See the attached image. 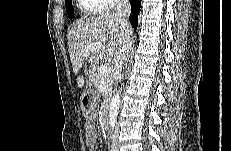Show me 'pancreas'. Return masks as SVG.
<instances>
[{"label": "pancreas", "instance_id": "obj_1", "mask_svg": "<svg viewBox=\"0 0 231 151\" xmlns=\"http://www.w3.org/2000/svg\"><path fill=\"white\" fill-rule=\"evenodd\" d=\"M100 67L96 68V72L93 74L91 81L99 91L106 92L104 102H107L112 94V84H113V74L109 73L107 76H104L100 73Z\"/></svg>", "mask_w": 231, "mask_h": 151}]
</instances>
